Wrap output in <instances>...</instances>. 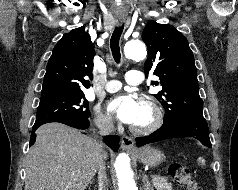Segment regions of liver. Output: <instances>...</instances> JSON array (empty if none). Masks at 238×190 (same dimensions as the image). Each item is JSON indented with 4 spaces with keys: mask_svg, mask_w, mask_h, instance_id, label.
Here are the masks:
<instances>
[{
    "mask_svg": "<svg viewBox=\"0 0 238 190\" xmlns=\"http://www.w3.org/2000/svg\"><path fill=\"white\" fill-rule=\"evenodd\" d=\"M98 152V141L76 129L42 125L27 155L25 190H85L96 173Z\"/></svg>",
    "mask_w": 238,
    "mask_h": 190,
    "instance_id": "obj_1",
    "label": "liver"
}]
</instances>
